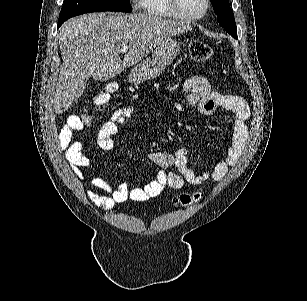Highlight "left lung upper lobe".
Masks as SVG:
<instances>
[{
  "label": "left lung upper lobe",
  "mask_w": 307,
  "mask_h": 301,
  "mask_svg": "<svg viewBox=\"0 0 307 301\" xmlns=\"http://www.w3.org/2000/svg\"><path fill=\"white\" fill-rule=\"evenodd\" d=\"M213 10L217 15L219 24L235 39H237V27L229 0H210Z\"/></svg>",
  "instance_id": "5c2ea615"
}]
</instances>
